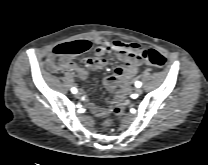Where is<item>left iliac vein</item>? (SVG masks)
Segmentation results:
<instances>
[{
  "label": "left iliac vein",
  "instance_id": "obj_1",
  "mask_svg": "<svg viewBox=\"0 0 208 165\" xmlns=\"http://www.w3.org/2000/svg\"><path fill=\"white\" fill-rule=\"evenodd\" d=\"M142 92H143V90H142L141 88H136V89H135V93H136L137 95H141Z\"/></svg>",
  "mask_w": 208,
  "mask_h": 165
}]
</instances>
